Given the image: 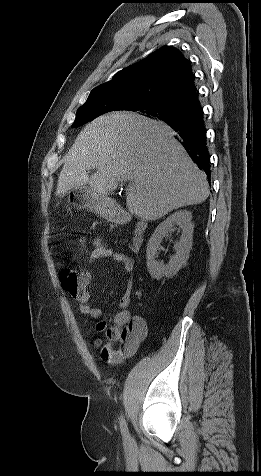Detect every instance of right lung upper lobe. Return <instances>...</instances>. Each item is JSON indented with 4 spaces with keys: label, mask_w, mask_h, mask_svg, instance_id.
<instances>
[{
    "label": "right lung upper lobe",
    "mask_w": 261,
    "mask_h": 476,
    "mask_svg": "<svg viewBox=\"0 0 261 476\" xmlns=\"http://www.w3.org/2000/svg\"><path fill=\"white\" fill-rule=\"evenodd\" d=\"M112 98L121 110L165 104L186 110L198 104L191 65L176 48L164 46L94 88L86 103Z\"/></svg>",
    "instance_id": "1"
}]
</instances>
